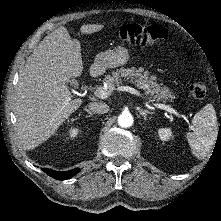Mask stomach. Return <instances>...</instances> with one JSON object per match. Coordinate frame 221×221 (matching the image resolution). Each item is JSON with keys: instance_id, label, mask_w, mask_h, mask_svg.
I'll use <instances>...</instances> for the list:
<instances>
[{"instance_id": "obj_1", "label": "stomach", "mask_w": 221, "mask_h": 221, "mask_svg": "<svg viewBox=\"0 0 221 221\" xmlns=\"http://www.w3.org/2000/svg\"><path fill=\"white\" fill-rule=\"evenodd\" d=\"M129 59V51L124 46H118L114 50L99 53L91 66L93 75H101L107 68H115L124 65Z\"/></svg>"}]
</instances>
